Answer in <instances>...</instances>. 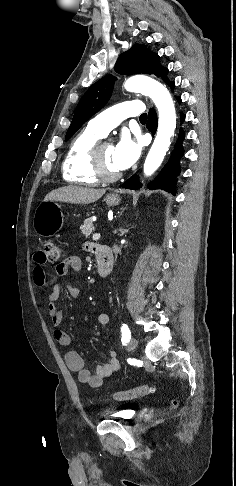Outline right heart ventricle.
I'll return each mask as SVG.
<instances>
[{
	"mask_svg": "<svg viewBox=\"0 0 236 486\" xmlns=\"http://www.w3.org/2000/svg\"><path fill=\"white\" fill-rule=\"evenodd\" d=\"M101 137L87 127L73 138L62 163V176L66 182L85 186L99 183L91 171L90 152Z\"/></svg>",
	"mask_w": 236,
	"mask_h": 486,
	"instance_id": "1",
	"label": "right heart ventricle"
}]
</instances>
